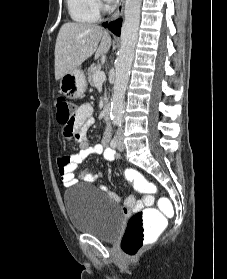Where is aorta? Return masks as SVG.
<instances>
[{
	"instance_id": "762f6f07",
	"label": "aorta",
	"mask_w": 227,
	"mask_h": 279,
	"mask_svg": "<svg viewBox=\"0 0 227 279\" xmlns=\"http://www.w3.org/2000/svg\"><path fill=\"white\" fill-rule=\"evenodd\" d=\"M142 0H126L124 22L121 28V48L116 60L115 82L111 99L110 117L115 126H121L124 97L138 39Z\"/></svg>"
}]
</instances>
